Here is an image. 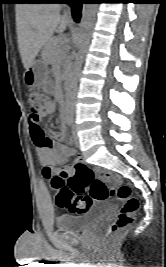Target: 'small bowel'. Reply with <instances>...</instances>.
Instances as JSON below:
<instances>
[{
  "label": "small bowel",
  "instance_id": "c3829d8e",
  "mask_svg": "<svg viewBox=\"0 0 166 267\" xmlns=\"http://www.w3.org/2000/svg\"><path fill=\"white\" fill-rule=\"evenodd\" d=\"M51 90L52 88L49 87ZM55 106L52 105L46 111L41 113L37 118L30 115L29 129L32 136V140L37 147V155L39 160L44 163L45 168L43 175L45 178H50L52 175V167L63 164L69 156L72 155V151L58 139L62 137V134H58L56 139L47 138L44 134V143H38L35 136V131L41 129L40 122L48 115H52L55 112ZM42 130V129H41Z\"/></svg>",
  "mask_w": 166,
  "mask_h": 267
}]
</instances>
